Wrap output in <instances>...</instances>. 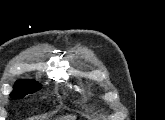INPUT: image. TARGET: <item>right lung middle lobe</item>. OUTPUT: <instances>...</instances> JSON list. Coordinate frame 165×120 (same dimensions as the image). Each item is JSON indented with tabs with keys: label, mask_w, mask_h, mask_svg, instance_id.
<instances>
[{
	"label": "right lung middle lobe",
	"mask_w": 165,
	"mask_h": 120,
	"mask_svg": "<svg viewBox=\"0 0 165 120\" xmlns=\"http://www.w3.org/2000/svg\"><path fill=\"white\" fill-rule=\"evenodd\" d=\"M41 85L29 80H18L14 85V90L11 93V97L14 99L23 98L27 94H32L39 90Z\"/></svg>",
	"instance_id": "right-lung-middle-lobe-1"
}]
</instances>
